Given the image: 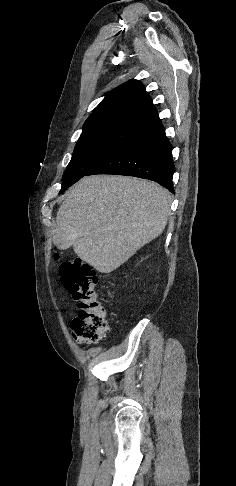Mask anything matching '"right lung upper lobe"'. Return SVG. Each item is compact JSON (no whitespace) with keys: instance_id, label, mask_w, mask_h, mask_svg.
Returning <instances> with one entry per match:
<instances>
[{"instance_id":"right-lung-upper-lobe-1","label":"right lung upper lobe","mask_w":236,"mask_h":486,"mask_svg":"<svg viewBox=\"0 0 236 486\" xmlns=\"http://www.w3.org/2000/svg\"><path fill=\"white\" fill-rule=\"evenodd\" d=\"M156 113L157 110L143 84L132 79L106 94L85 121L83 132L120 124L140 125Z\"/></svg>"}]
</instances>
